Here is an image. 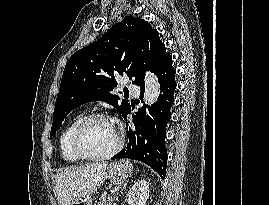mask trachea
Returning <instances> with one entry per match:
<instances>
[{
	"mask_svg": "<svg viewBox=\"0 0 269 205\" xmlns=\"http://www.w3.org/2000/svg\"><path fill=\"white\" fill-rule=\"evenodd\" d=\"M125 95H129V93H125Z\"/></svg>",
	"mask_w": 269,
	"mask_h": 205,
	"instance_id": "1",
	"label": "trachea"
}]
</instances>
